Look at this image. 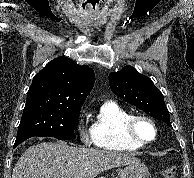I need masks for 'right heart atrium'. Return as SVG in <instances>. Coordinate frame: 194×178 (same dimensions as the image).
Masks as SVG:
<instances>
[{"instance_id":"1","label":"right heart atrium","mask_w":194,"mask_h":178,"mask_svg":"<svg viewBox=\"0 0 194 178\" xmlns=\"http://www.w3.org/2000/svg\"><path fill=\"white\" fill-rule=\"evenodd\" d=\"M86 119H87L86 113L85 112L81 113V115L77 120L76 128H77L80 141L83 144L88 145L92 141V139H91V134L86 129Z\"/></svg>"}]
</instances>
